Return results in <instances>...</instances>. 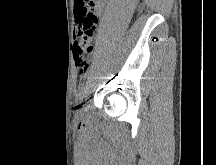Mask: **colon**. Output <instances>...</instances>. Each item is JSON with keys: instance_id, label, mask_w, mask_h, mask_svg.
I'll return each mask as SVG.
<instances>
[{"instance_id": "colon-1", "label": "colon", "mask_w": 216, "mask_h": 165, "mask_svg": "<svg viewBox=\"0 0 216 165\" xmlns=\"http://www.w3.org/2000/svg\"><path fill=\"white\" fill-rule=\"evenodd\" d=\"M83 19L76 28L74 55L77 68L83 72L88 67V58L92 53V39L96 30L97 18L89 10L84 11ZM83 12V13H84Z\"/></svg>"}]
</instances>
